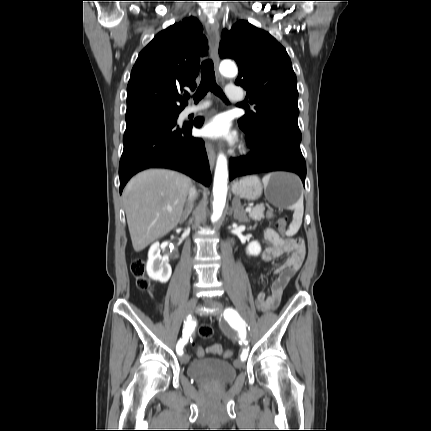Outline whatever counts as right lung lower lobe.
I'll use <instances>...</instances> for the list:
<instances>
[{"mask_svg": "<svg viewBox=\"0 0 431 431\" xmlns=\"http://www.w3.org/2000/svg\"><path fill=\"white\" fill-rule=\"evenodd\" d=\"M176 122L177 118H155L126 126L119 166L120 193L134 174L148 168L177 170L209 186L204 142L191 136L192 127H201L203 118L180 126Z\"/></svg>", "mask_w": 431, "mask_h": 431, "instance_id": "right-lung-lower-lobe-1", "label": "right lung lower lobe"}]
</instances>
